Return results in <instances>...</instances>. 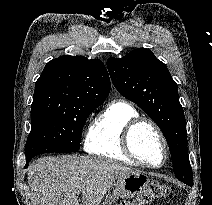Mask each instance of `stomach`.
Listing matches in <instances>:
<instances>
[{
    "label": "stomach",
    "instance_id": "obj_1",
    "mask_svg": "<svg viewBox=\"0 0 212 205\" xmlns=\"http://www.w3.org/2000/svg\"><path fill=\"white\" fill-rule=\"evenodd\" d=\"M149 184V178L139 172H134L121 176L115 183L112 193L106 195L101 205H112L119 199L133 198L141 193Z\"/></svg>",
    "mask_w": 212,
    "mask_h": 205
}]
</instances>
